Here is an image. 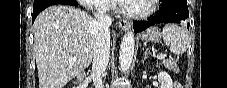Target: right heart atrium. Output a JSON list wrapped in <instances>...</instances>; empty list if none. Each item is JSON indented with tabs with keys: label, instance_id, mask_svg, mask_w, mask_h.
<instances>
[{
	"label": "right heart atrium",
	"instance_id": "right-heart-atrium-1",
	"mask_svg": "<svg viewBox=\"0 0 227 88\" xmlns=\"http://www.w3.org/2000/svg\"><path fill=\"white\" fill-rule=\"evenodd\" d=\"M79 2L87 10L97 14H106L111 11L110 0H80Z\"/></svg>",
	"mask_w": 227,
	"mask_h": 88
}]
</instances>
